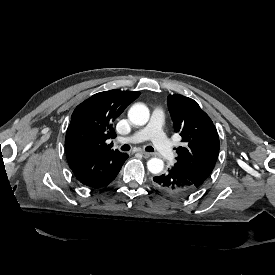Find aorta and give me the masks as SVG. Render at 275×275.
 I'll return each mask as SVG.
<instances>
[{"instance_id":"obj_1","label":"aorta","mask_w":275,"mask_h":275,"mask_svg":"<svg viewBox=\"0 0 275 275\" xmlns=\"http://www.w3.org/2000/svg\"><path fill=\"white\" fill-rule=\"evenodd\" d=\"M128 118L134 125L144 126L150 118L149 109L142 103H136L130 108ZM147 167L151 173L158 174L163 170L164 162L160 158L153 157L147 162Z\"/></svg>"}]
</instances>
